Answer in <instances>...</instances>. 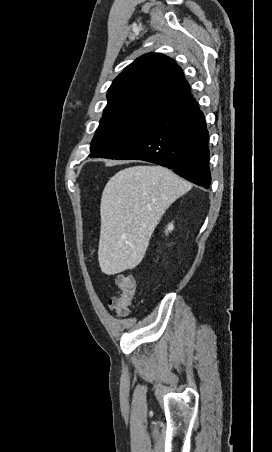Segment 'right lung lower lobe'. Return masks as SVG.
<instances>
[{"label":"right lung lower lobe","instance_id":"98d812e1","mask_svg":"<svg viewBox=\"0 0 272 452\" xmlns=\"http://www.w3.org/2000/svg\"><path fill=\"white\" fill-rule=\"evenodd\" d=\"M209 133L198 103L161 114L116 160H144L172 169L206 189L211 183Z\"/></svg>","mask_w":272,"mask_h":452}]
</instances>
